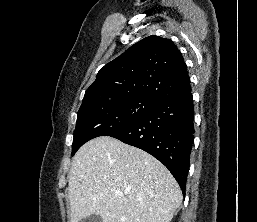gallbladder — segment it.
I'll return each instance as SVG.
<instances>
[{"mask_svg":"<svg viewBox=\"0 0 257 222\" xmlns=\"http://www.w3.org/2000/svg\"><path fill=\"white\" fill-rule=\"evenodd\" d=\"M80 222H102V218L99 215L92 214L86 218L80 220Z\"/></svg>","mask_w":257,"mask_h":222,"instance_id":"gallbladder-1","label":"gallbladder"}]
</instances>
